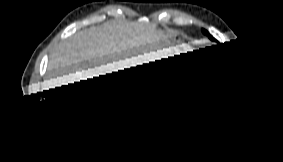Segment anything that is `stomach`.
Wrapping results in <instances>:
<instances>
[{
    "label": "stomach",
    "instance_id": "obj_1",
    "mask_svg": "<svg viewBox=\"0 0 283 162\" xmlns=\"http://www.w3.org/2000/svg\"><path fill=\"white\" fill-rule=\"evenodd\" d=\"M166 49V68L169 75L160 79L166 85L168 98L177 105L197 106L205 97L208 84V68L202 57L177 35L155 29Z\"/></svg>",
    "mask_w": 283,
    "mask_h": 162
}]
</instances>
